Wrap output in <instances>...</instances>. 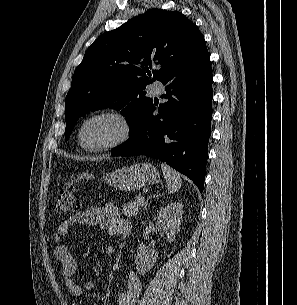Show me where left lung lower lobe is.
<instances>
[{"label": "left lung lower lobe", "mask_w": 297, "mask_h": 305, "mask_svg": "<svg viewBox=\"0 0 297 305\" xmlns=\"http://www.w3.org/2000/svg\"><path fill=\"white\" fill-rule=\"evenodd\" d=\"M212 68L174 73L162 83L168 99L153 101L130 129V138L112 150L114 156L146 155L160 159L189 177L202 192L211 134Z\"/></svg>", "instance_id": "left-lung-lower-lobe-1"}]
</instances>
